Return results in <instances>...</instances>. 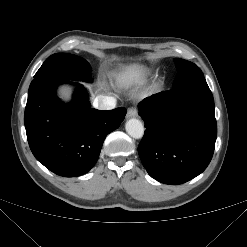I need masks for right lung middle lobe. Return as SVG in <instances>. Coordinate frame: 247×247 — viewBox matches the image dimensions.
Segmentation results:
<instances>
[{"label": "right lung middle lobe", "mask_w": 247, "mask_h": 247, "mask_svg": "<svg viewBox=\"0 0 247 247\" xmlns=\"http://www.w3.org/2000/svg\"><path fill=\"white\" fill-rule=\"evenodd\" d=\"M90 72L91 67L84 59L71 54L57 53L47 58L34 78L53 76L63 80L91 82Z\"/></svg>", "instance_id": "dd1d6c3e"}]
</instances>
